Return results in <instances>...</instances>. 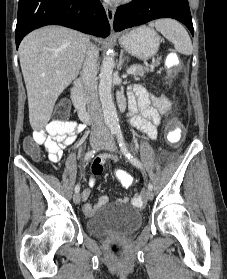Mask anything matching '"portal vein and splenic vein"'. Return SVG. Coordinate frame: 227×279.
<instances>
[{
    "instance_id": "obj_1",
    "label": "portal vein and splenic vein",
    "mask_w": 227,
    "mask_h": 279,
    "mask_svg": "<svg viewBox=\"0 0 227 279\" xmlns=\"http://www.w3.org/2000/svg\"><path fill=\"white\" fill-rule=\"evenodd\" d=\"M136 70V68L133 66V67H130L128 70H127V73L128 74H132L134 71Z\"/></svg>"
}]
</instances>
